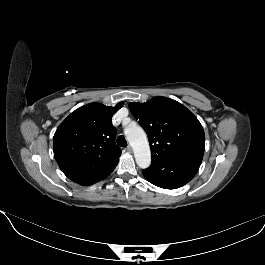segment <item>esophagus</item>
Instances as JSON below:
<instances>
[{
    "mask_svg": "<svg viewBox=\"0 0 265 265\" xmlns=\"http://www.w3.org/2000/svg\"><path fill=\"white\" fill-rule=\"evenodd\" d=\"M126 149L128 152L132 153V147L130 145Z\"/></svg>",
    "mask_w": 265,
    "mask_h": 265,
    "instance_id": "1",
    "label": "esophagus"
}]
</instances>
